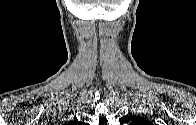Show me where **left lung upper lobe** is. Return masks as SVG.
<instances>
[{
  "label": "left lung upper lobe",
  "mask_w": 196,
  "mask_h": 125,
  "mask_svg": "<svg viewBox=\"0 0 196 125\" xmlns=\"http://www.w3.org/2000/svg\"><path fill=\"white\" fill-rule=\"evenodd\" d=\"M143 123H146V120L141 117H137L132 121V125H142Z\"/></svg>",
  "instance_id": "left-lung-upper-lobe-1"
}]
</instances>
